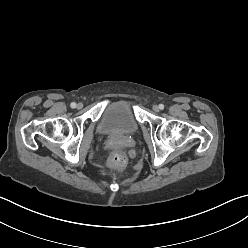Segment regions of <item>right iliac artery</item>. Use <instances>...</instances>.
Here are the masks:
<instances>
[{"instance_id":"82829eb1","label":"right iliac artery","mask_w":248,"mask_h":248,"mask_svg":"<svg viewBox=\"0 0 248 248\" xmlns=\"http://www.w3.org/2000/svg\"><path fill=\"white\" fill-rule=\"evenodd\" d=\"M70 106H71V108H75V107H76V103H75V102H72V103L70 104Z\"/></svg>"}]
</instances>
